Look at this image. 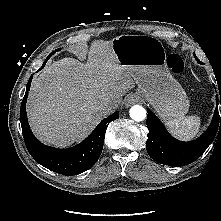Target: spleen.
Instances as JSON below:
<instances>
[{
	"instance_id": "obj_1",
	"label": "spleen",
	"mask_w": 221,
	"mask_h": 221,
	"mask_svg": "<svg viewBox=\"0 0 221 221\" xmlns=\"http://www.w3.org/2000/svg\"><path fill=\"white\" fill-rule=\"evenodd\" d=\"M201 119L199 116L179 117L167 122L170 133L180 140H190L194 138L200 130Z\"/></svg>"
}]
</instances>
